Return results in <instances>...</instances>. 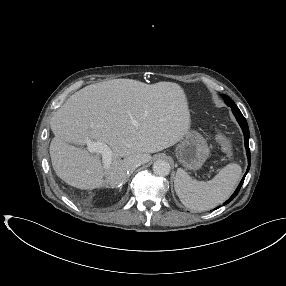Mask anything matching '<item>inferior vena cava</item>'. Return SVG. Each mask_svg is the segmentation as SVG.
Instances as JSON below:
<instances>
[{"instance_id":"obj_1","label":"inferior vena cava","mask_w":286,"mask_h":286,"mask_svg":"<svg viewBox=\"0 0 286 286\" xmlns=\"http://www.w3.org/2000/svg\"><path fill=\"white\" fill-rule=\"evenodd\" d=\"M142 164V161L141 160H133L132 163H131V167H130V172L134 171L136 168H138L139 166H141Z\"/></svg>"}]
</instances>
